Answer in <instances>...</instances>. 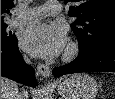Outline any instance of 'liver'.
<instances>
[{
    "label": "liver",
    "mask_w": 115,
    "mask_h": 99,
    "mask_svg": "<svg viewBox=\"0 0 115 99\" xmlns=\"http://www.w3.org/2000/svg\"><path fill=\"white\" fill-rule=\"evenodd\" d=\"M20 95L21 94L19 93V89L15 82L1 77V99H19ZM24 96H27L25 92Z\"/></svg>",
    "instance_id": "liver-1"
}]
</instances>
